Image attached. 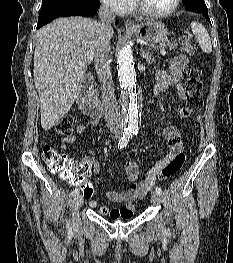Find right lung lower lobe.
<instances>
[{"label": "right lung lower lobe", "mask_w": 233, "mask_h": 263, "mask_svg": "<svg viewBox=\"0 0 233 263\" xmlns=\"http://www.w3.org/2000/svg\"><path fill=\"white\" fill-rule=\"evenodd\" d=\"M99 6H100L99 1L94 2L91 0H83L80 3V5L75 9V11L73 13L68 14L66 16L80 15V16L90 17V16H93L97 13ZM52 20L45 22V23H38L37 29H39L43 25H46L47 23L51 22Z\"/></svg>", "instance_id": "98d812e1"}]
</instances>
